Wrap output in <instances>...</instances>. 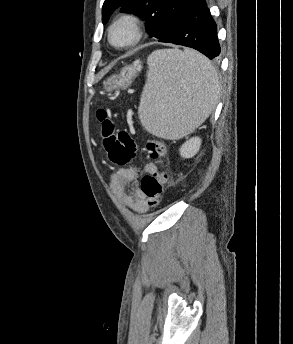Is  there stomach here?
Segmentation results:
<instances>
[{
	"label": "stomach",
	"mask_w": 293,
	"mask_h": 344,
	"mask_svg": "<svg viewBox=\"0 0 293 344\" xmlns=\"http://www.w3.org/2000/svg\"><path fill=\"white\" fill-rule=\"evenodd\" d=\"M140 70V63L134 62L133 65L127 66L122 69L119 75H112L106 81L103 82V86L106 91L112 92L115 89H126L137 76Z\"/></svg>",
	"instance_id": "0dacf381"
}]
</instances>
